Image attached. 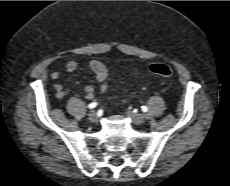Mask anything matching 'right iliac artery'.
Wrapping results in <instances>:
<instances>
[{"label": "right iliac artery", "instance_id": "right-iliac-artery-1", "mask_svg": "<svg viewBox=\"0 0 230 186\" xmlns=\"http://www.w3.org/2000/svg\"><path fill=\"white\" fill-rule=\"evenodd\" d=\"M96 106H97V103H96V102L90 103V104L88 105V107H89L90 109H93V108H95Z\"/></svg>", "mask_w": 230, "mask_h": 186}]
</instances>
